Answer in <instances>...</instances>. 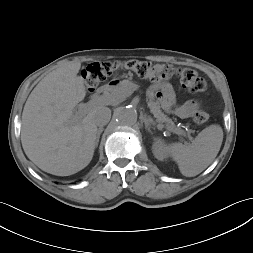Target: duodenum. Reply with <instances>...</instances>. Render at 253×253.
Listing matches in <instances>:
<instances>
[{"label":"duodenum","instance_id":"410a0bca","mask_svg":"<svg viewBox=\"0 0 253 253\" xmlns=\"http://www.w3.org/2000/svg\"><path fill=\"white\" fill-rule=\"evenodd\" d=\"M114 83L110 84L113 85ZM109 86V85H108ZM108 86H102L98 89L97 94H102L103 92H105L108 88Z\"/></svg>","mask_w":253,"mask_h":253}]
</instances>
